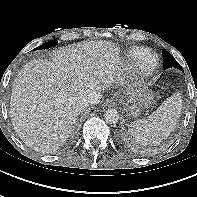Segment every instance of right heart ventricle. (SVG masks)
<instances>
[{"instance_id": "1", "label": "right heart ventricle", "mask_w": 197, "mask_h": 197, "mask_svg": "<svg viewBox=\"0 0 197 197\" xmlns=\"http://www.w3.org/2000/svg\"><path fill=\"white\" fill-rule=\"evenodd\" d=\"M149 49L143 46H135L128 49L125 53V60L130 65L137 64L145 55L149 53Z\"/></svg>"}]
</instances>
